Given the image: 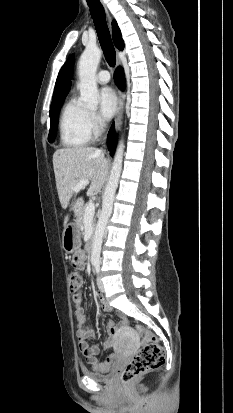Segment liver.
<instances>
[{
    "label": "liver",
    "mask_w": 233,
    "mask_h": 413,
    "mask_svg": "<svg viewBox=\"0 0 233 413\" xmlns=\"http://www.w3.org/2000/svg\"><path fill=\"white\" fill-rule=\"evenodd\" d=\"M53 167L56 187L63 209L70 206L75 213L82 207V197L72 201L74 187L81 180L90 182L88 196L98 194L105 182L109 163L104 153L94 147H76L59 149L53 154ZM69 216H65L64 227H67Z\"/></svg>",
    "instance_id": "obj_1"
}]
</instances>
